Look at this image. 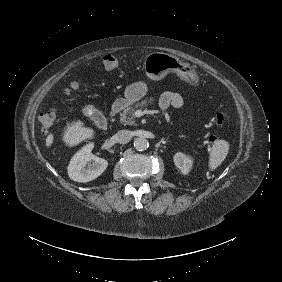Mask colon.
Wrapping results in <instances>:
<instances>
[{"mask_svg": "<svg viewBox=\"0 0 282 282\" xmlns=\"http://www.w3.org/2000/svg\"><path fill=\"white\" fill-rule=\"evenodd\" d=\"M125 64L123 57L116 54H107L103 58V65L107 70H118L122 68ZM56 109L50 108L45 111L39 118L40 130L43 134L48 135L51 133L53 127L56 123ZM225 122V115L223 113H217L214 117V123L217 127L215 133L208 136V141L210 143H215L220 138Z\"/></svg>", "mask_w": 282, "mask_h": 282, "instance_id": "colon-1", "label": "colon"}]
</instances>
